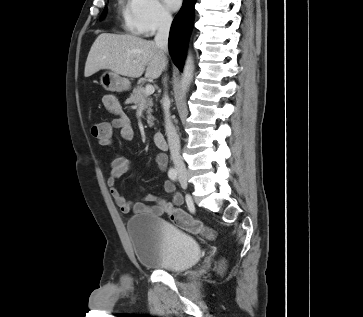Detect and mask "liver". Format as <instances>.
I'll return each instance as SVG.
<instances>
[{
	"label": "liver",
	"mask_w": 363,
	"mask_h": 317,
	"mask_svg": "<svg viewBox=\"0 0 363 317\" xmlns=\"http://www.w3.org/2000/svg\"><path fill=\"white\" fill-rule=\"evenodd\" d=\"M167 65L165 54L155 42L133 35L100 34L93 43L85 64L84 76L101 69L138 78H158Z\"/></svg>",
	"instance_id": "1"
}]
</instances>
